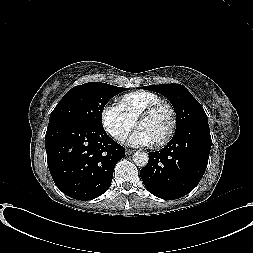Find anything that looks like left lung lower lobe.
<instances>
[{
  "mask_svg": "<svg viewBox=\"0 0 253 253\" xmlns=\"http://www.w3.org/2000/svg\"><path fill=\"white\" fill-rule=\"evenodd\" d=\"M209 125L191 124L176 131L161 151L150 152L140 176L145 187L162 199H178L200 182L211 149Z\"/></svg>",
  "mask_w": 253,
  "mask_h": 253,
  "instance_id": "left-lung-lower-lobe-1",
  "label": "left lung lower lobe"
}]
</instances>
